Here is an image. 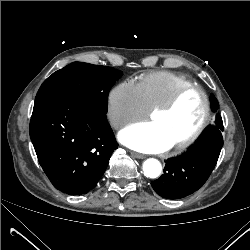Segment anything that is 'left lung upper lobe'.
I'll return each mask as SVG.
<instances>
[{
	"instance_id": "1",
	"label": "left lung upper lobe",
	"mask_w": 250,
	"mask_h": 250,
	"mask_svg": "<svg viewBox=\"0 0 250 250\" xmlns=\"http://www.w3.org/2000/svg\"><path fill=\"white\" fill-rule=\"evenodd\" d=\"M217 109H218V101L215 97H212V110L216 112ZM215 127L223 130L222 118L219 115L216 117Z\"/></svg>"
}]
</instances>
